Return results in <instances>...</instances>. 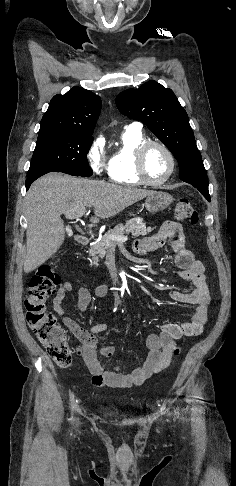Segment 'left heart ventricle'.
I'll list each match as a JSON object with an SVG mask.
<instances>
[{"mask_svg":"<svg viewBox=\"0 0 236 486\" xmlns=\"http://www.w3.org/2000/svg\"><path fill=\"white\" fill-rule=\"evenodd\" d=\"M170 168V162L166 153L158 146H152L145 155V171L147 176L154 181L166 176Z\"/></svg>","mask_w":236,"mask_h":486,"instance_id":"obj_1","label":"left heart ventricle"}]
</instances>
